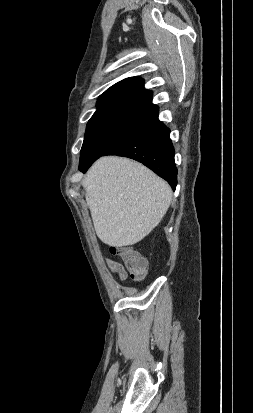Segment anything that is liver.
Instances as JSON below:
<instances>
[{
    "label": "liver",
    "mask_w": 253,
    "mask_h": 413,
    "mask_svg": "<svg viewBox=\"0 0 253 413\" xmlns=\"http://www.w3.org/2000/svg\"><path fill=\"white\" fill-rule=\"evenodd\" d=\"M100 240L114 247L133 245L163 219L172 200L167 182L127 158H99L82 181Z\"/></svg>",
    "instance_id": "obj_1"
}]
</instances>
